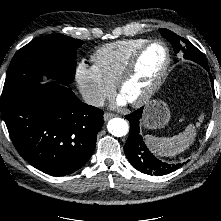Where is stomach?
<instances>
[{"label":"stomach","mask_w":221,"mask_h":221,"mask_svg":"<svg viewBox=\"0 0 221 221\" xmlns=\"http://www.w3.org/2000/svg\"><path fill=\"white\" fill-rule=\"evenodd\" d=\"M169 120L170 111L166 103L155 99L147 104L141 122L146 129H159L165 127Z\"/></svg>","instance_id":"stomach-1"}]
</instances>
